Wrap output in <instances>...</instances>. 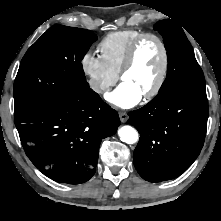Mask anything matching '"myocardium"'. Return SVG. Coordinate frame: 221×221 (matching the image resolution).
Returning <instances> with one entry per match:
<instances>
[{
	"mask_svg": "<svg viewBox=\"0 0 221 221\" xmlns=\"http://www.w3.org/2000/svg\"><path fill=\"white\" fill-rule=\"evenodd\" d=\"M146 39L155 40L160 46L161 55H162L161 67H160V71L158 74V78H157L155 84L153 85V87L147 93H145L143 95V98L151 99V98L155 97L162 89V87L165 83V80H166L168 67H169L168 49H167V46H166L164 40L159 35L152 33V32H144V33L140 34L131 43V45L129 46V48L127 50L123 65L120 69L119 78H120V80H122L123 76L132 68V66L134 65L135 59H136L138 49H139L140 45L142 44V42Z\"/></svg>",
	"mask_w": 221,
	"mask_h": 221,
	"instance_id": "1",
	"label": "myocardium"
}]
</instances>
